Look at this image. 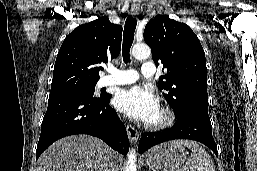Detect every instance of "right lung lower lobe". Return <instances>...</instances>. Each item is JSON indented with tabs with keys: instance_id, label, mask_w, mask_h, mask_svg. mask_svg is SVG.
I'll use <instances>...</instances> for the list:
<instances>
[{
	"instance_id": "1",
	"label": "right lung lower lobe",
	"mask_w": 257,
	"mask_h": 171,
	"mask_svg": "<svg viewBox=\"0 0 257 171\" xmlns=\"http://www.w3.org/2000/svg\"><path fill=\"white\" fill-rule=\"evenodd\" d=\"M111 95L99 98L85 93L50 95L41 124L36 160L56 140L74 134L102 139L111 148L126 155L129 140L125 126L109 105Z\"/></svg>"
}]
</instances>
